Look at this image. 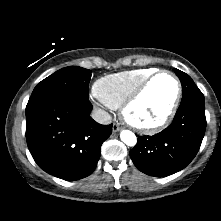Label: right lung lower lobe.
<instances>
[{
	"label": "right lung lower lobe",
	"mask_w": 221,
	"mask_h": 221,
	"mask_svg": "<svg viewBox=\"0 0 221 221\" xmlns=\"http://www.w3.org/2000/svg\"><path fill=\"white\" fill-rule=\"evenodd\" d=\"M91 110L88 97L76 96L26 106L27 145L41 169L64 180H79L94 171L112 125L95 122Z\"/></svg>",
	"instance_id": "obj_1"
}]
</instances>
